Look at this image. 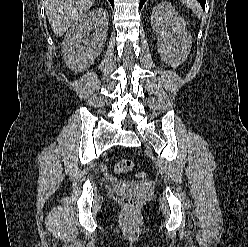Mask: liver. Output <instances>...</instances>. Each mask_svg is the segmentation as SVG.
<instances>
[{
  "mask_svg": "<svg viewBox=\"0 0 248 247\" xmlns=\"http://www.w3.org/2000/svg\"><path fill=\"white\" fill-rule=\"evenodd\" d=\"M95 0H45L46 15L54 34L63 35L73 22L81 18Z\"/></svg>",
  "mask_w": 248,
  "mask_h": 247,
  "instance_id": "6515ba94",
  "label": "liver"
}]
</instances>
